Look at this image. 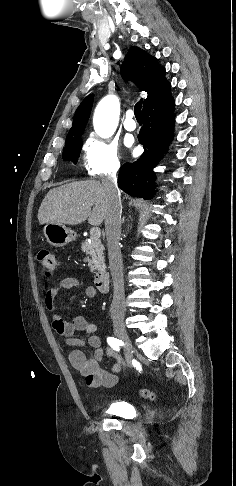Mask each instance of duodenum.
Wrapping results in <instances>:
<instances>
[{
    "mask_svg": "<svg viewBox=\"0 0 236 486\" xmlns=\"http://www.w3.org/2000/svg\"><path fill=\"white\" fill-rule=\"evenodd\" d=\"M94 283L96 288L100 292H106L108 289V283H109V274L107 271L102 270L99 271L94 278Z\"/></svg>",
    "mask_w": 236,
    "mask_h": 486,
    "instance_id": "obj_1",
    "label": "duodenum"
}]
</instances>
